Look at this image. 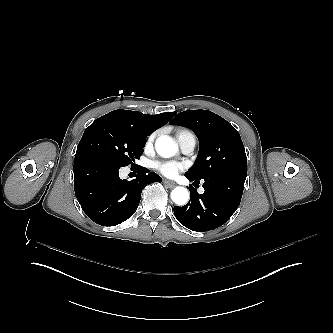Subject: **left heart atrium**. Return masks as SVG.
I'll use <instances>...</instances> for the list:
<instances>
[{"instance_id":"1","label":"left heart atrium","mask_w":333,"mask_h":333,"mask_svg":"<svg viewBox=\"0 0 333 333\" xmlns=\"http://www.w3.org/2000/svg\"><path fill=\"white\" fill-rule=\"evenodd\" d=\"M186 168L184 163L176 162V161H167L158 164V171L166 177H175L179 173L183 172Z\"/></svg>"}]
</instances>
